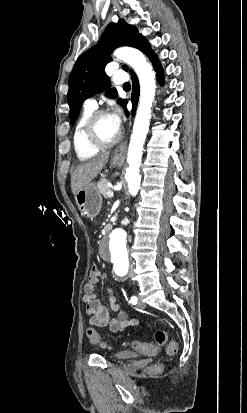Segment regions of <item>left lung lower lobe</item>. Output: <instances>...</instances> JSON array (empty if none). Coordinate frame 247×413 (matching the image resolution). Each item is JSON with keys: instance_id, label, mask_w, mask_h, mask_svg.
Returning <instances> with one entry per match:
<instances>
[{"instance_id": "left-lung-lower-lobe-1", "label": "left lung lower lobe", "mask_w": 247, "mask_h": 413, "mask_svg": "<svg viewBox=\"0 0 247 413\" xmlns=\"http://www.w3.org/2000/svg\"><path fill=\"white\" fill-rule=\"evenodd\" d=\"M149 60L152 62L153 67L157 73V78L159 83L162 85L164 80H163V69L161 67L160 61L158 59V57L156 56L155 53H152L149 57ZM132 82H133V92H132V103H133V112L134 113V109L136 108L137 105V98L139 95V82H138V78L137 76L132 73ZM126 115L128 116V113L126 112Z\"/></svg>"}]
</instances>
